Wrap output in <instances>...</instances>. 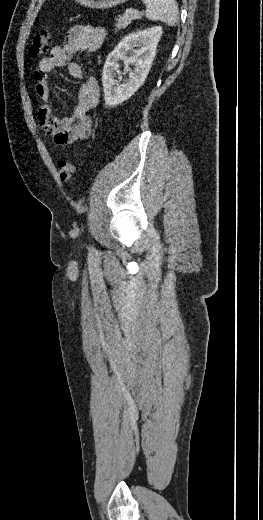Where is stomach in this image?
I'll return each mask as SVG.
<instances>
[{"instance_id":"obj_1","label":"stomach","mask_w":263,"mask_h":520,"mask_svg":"<svg viewBox=\"0 0 263 520\" xmlns=\"http://www.w3.org/2000/svg\"><path fill=\"white\" fill-rule=\"evenodd\" d=\"M80 5L92 9H109L128 0H75Z\"/></svg>"}]
</instances>
